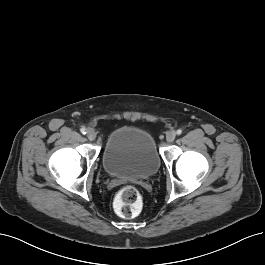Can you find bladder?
I'll return each instance as SVG.
<instances>
[{
  "mask_svg": "<svg viewBox=\"0 0 265 265\" xmlns=\"http://www.w3.org/2000/svg\"><path fill=\"white\" fill-rule=\"evenodd\" d=\"M160 154L152 134L136 125H125L107 139L102 156L105 172L113 177L139 180L152 177L160 167Z\"/></svg>",
  "mask_w": 265,
  "mask_h": 265,
  "instance_id": "1",
  "label": "bladder"
}]
</instances>
